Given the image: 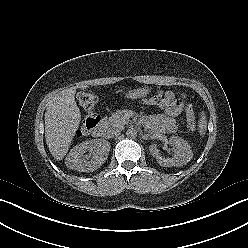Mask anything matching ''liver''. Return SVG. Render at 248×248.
I'll return each mask as SVG.
<instances>
[{"label": "liver", "instance_id": "obj_1", "mask_svg": "<svg viewBox=\"0 0 248 248\" xmlns=\"http://www.w3.org/2000/svg\"><path fill=\"white\" fill-rule=\"evenodd\" d=\"M75 88L60 92L45 112V138L50 153L56 160L67 154L81 120L75 101Z\"/></svg>", "mask_w": 248, "mask_h": 248}]
</instances>
